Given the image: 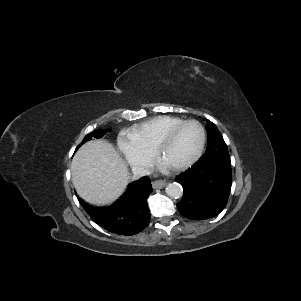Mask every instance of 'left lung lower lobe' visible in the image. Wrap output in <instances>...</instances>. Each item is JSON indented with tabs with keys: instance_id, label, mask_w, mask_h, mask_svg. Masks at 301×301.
<instances>
[{
	"instance_id": "left-lung-lower-lobe-1",
	"label": "left lung lower lobe",
	"mask_w": 301,
	"mask_h": 301,
	"mask_svg": "<svg viewBox=\"0 0 301 301\" xmlns=\"http://www.w3.org/2000/svg\"><path fill=\"white\" fill-rule=\"evenodd\" d=\"M184 190L177 203L179 212L193 220L215 217L226 206L231 185L230 160L211 158L198 160L186 172L176 177Z\"/></svg>"
}]
</instances>
